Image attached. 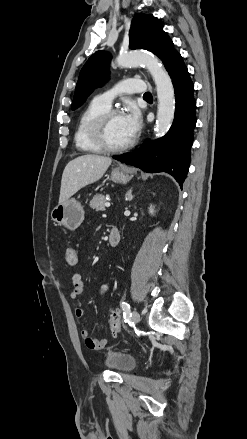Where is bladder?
Here are the masks:
<instances>
[{
  "label": "bladder",
  "instance_id": "bladder-1",
  "mask_svg": "<svg viewBox=\"0 0 247 439\" xmlns=\"http://www.w3.org/2000/svg\"><path fill=\"white\" fill-rule=\"evenodd\" d=\"M104 364L116 372L129 373L135 369L137 362L136 359L128 353L108 349L104 354Z\"/></svg>",
  "mask_w": 247,
  "mask_h": 439
}]
</instances>
